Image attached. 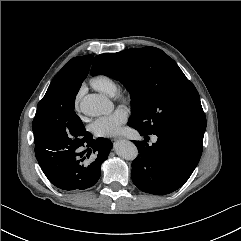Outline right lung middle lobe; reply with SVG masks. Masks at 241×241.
<instances>
[{
	"label": "right lung middle lobe",
	"mask_w": 241,
	"mask_h": 241,
	"mask_svg": "<svg viewBox=\"0 0 241 241\" xmlns=\"http://www.w3.org/2000/svg\"><path fill=\"white\" fill-rule=\"evenodd\" d=\"M77 92L70 91L58 101L46 95L38 103L32 129L41 144L54 150L71 149L81 145L89 136L81 119L74 111Z\"/></svg>",
	"instance_id": "obj_1"
}]
</instances>
